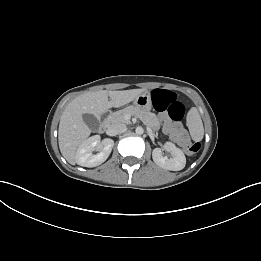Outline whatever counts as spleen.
<instances>
[{
    "instance_id": "1",
    "label": "spleen",
    "mask_w": 261,
    "mask_h": 261,
    "mask_svg": "<svg viewBox=\"0 0 261 261\" xmlns=\"http://www.w3.org/2000/svg\"><path fill=\"white\" fill-rule=\"evenodd\" d=\"M191 114V136L193 140L200 141L204 135L203 124L197 111H193Z\"/></svg>"
}]
</instances>
